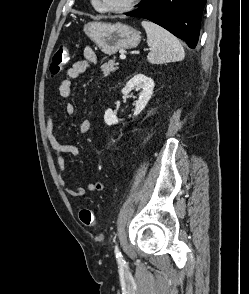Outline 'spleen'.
Returning <instances> with one entry per match:
<instances>
[{
    "mask_svg": "<svg viewBox=\"0 0 249 294\" xmlns=\"http://www.w3.org/2000/svg\"><path fill=\"white\" fill-rule=\"evenodd\" d=\"M141 24L147 33V43L151 48L147 56L150 63L162 64L184 58V49L174 35L151 21L144 20Z\"/></svg>",
    "mask_w": 249,
    "mask_h": 294,
    "instance_id": "1",
    "label": "spleen"
}]
</instances>
